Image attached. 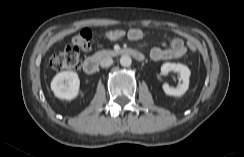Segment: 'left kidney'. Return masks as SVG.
Instances as JSON below:
<instances>
[{"label":"left kidney","instance_id":"1","mask_svg":"<svg viewBox=\"0 0 244 157\" xmlns=\"http://www.w3.org/2000/svg\"><path fill=\"white\" fill-rule=\"evenodd\" d=\"M171 71L178 72L180 74L179 83L176 88L170 87L168 84H164L163 90L167 95L181 96L189 88V77L191 75V71L187 66L180 63L167 62L161 66V72L163 74H168Z\"/></svg>","mask_w":244,"mask_h":157}]
</instances>
